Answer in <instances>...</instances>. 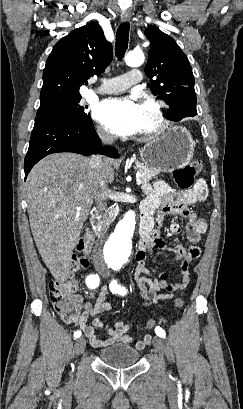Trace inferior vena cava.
<instances>
[{"mask_svg":"<svg viewBox=\"0 0 243 409\" xmlns=\"http://www.w3.org/2000/svg\"><path fill=\"white\" fill-rule=\"evenodd\" d=\"M99 136L103 144H111L115 138L107 133L99 132ZM90 179L96 190V205L100 212L102 222V238L95 243L94 247V259L96 264L101 269H106V265L103 259L102 247L104 238L106 235L107 225V177L104 170V159L100 155H93L89 159Z\"/></svg>","mask_w":243,"mask_h":409,"instance_id":"602c4592","label":"inferior vena cava"}]
</instances>
